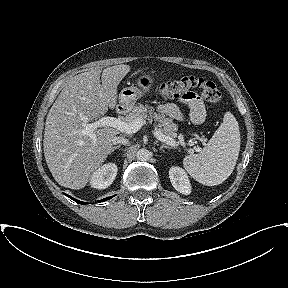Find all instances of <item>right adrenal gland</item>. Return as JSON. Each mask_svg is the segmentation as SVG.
Here are the masks:
<instances>
[{
  "label": "right adrenal gland",
  "mask_w": 288,
  "mask_h": 288,
  "mask_svg": "<svg viewBox=\"0 0 288 288\" xmlns=\"http://www.w3.org/2000/svg\"><path fill=\"white\" fill-rule=\"evenodd\" d=\"M120 147H121L120 145L114 146V147L112 148V151H111V152H114L116 149H119Z\"/></svg>",
  "instance_id": "2a0ac1e0"
}]
</instances>
